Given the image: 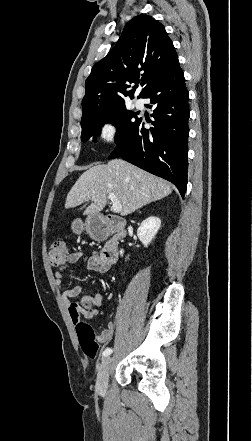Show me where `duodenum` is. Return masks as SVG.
<instances>
[{
  "label": "duodenum",
  "instance_id": "1",
  "mask_svg": "<svg viewBox=\"0 0 252 441\" xmlns=\"http://www.w3.org/2000/svg\"><path fill=\"white\" fill-rule=\"evenodd\" d=\"M90 235L95 240H103L108 234L114 236L108 240L102 249L100 258L103 262L111 265L118 258V244L121 238L126 235L125 223L115 216H105L103 221L91 219L88 224Z\"/></svg>",
  "mask_w": 252,
  "mask_h": 441
}]
</instances>
